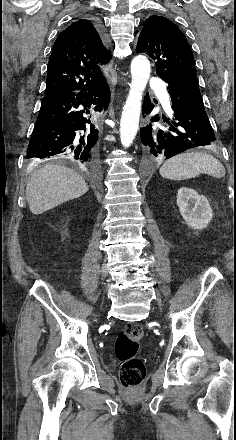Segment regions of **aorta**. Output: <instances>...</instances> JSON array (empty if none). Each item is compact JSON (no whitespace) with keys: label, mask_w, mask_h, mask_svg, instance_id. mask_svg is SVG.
Segmentation results:
<instances>
[{"label":"aorta","mask_w":236,"mask_h":440,"mask_svg":"<svg viewBox=\"0 0 236 440\" xmlns=\"http://www.w3.org/2000/svg\"><path fill=\"white\" fill-rule=\"evenodd\" d=\"M150 62L143 55H137L131 62V83L120 120V141L129 147L136 137L141 112L143 92L150 77Z\"/></svg>","instance_id":"1"}]
</instances>
